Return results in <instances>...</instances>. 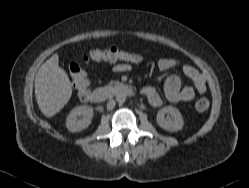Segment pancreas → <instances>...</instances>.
Instances as JSON below:
<instances>
[{"label": "pancreas", "mask_w": 249, "mask_h": 188, "mask_svg": "<svg viewBox=\"0 0 249 188\" xmlns=\"http://www.w3.org/2000/svg\"><path fill=\"white\" fill-rule=\"evenodd\" d=\"M113 84H114V82H110V84H109V85H110V86H112Z\"/></svg>", "instance_id": "pancreas-1"}]
</instances>
